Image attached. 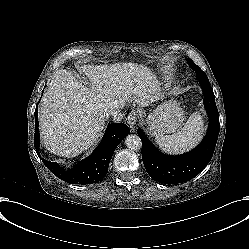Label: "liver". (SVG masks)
I'll return each instance as SVG.
<instances>
[{
  "mask_svg": "<svg viewBox=\"0 0 249 249\" xmlns=\"http://www.w3.org/2000/svg\"><path fill=\"white\" fill-rule=\"evenodd\" d=\"M93 88L80 83L72 72H59L51 80L39 106L43 144L57 156L72 158L94 146L102 136L111 104L127 102L146 107L157 96L147 69L131 64L84 65Z\"/></svg>",
  "mask_w": 249,
  "mask_h": 249,
  "instance_id": "1",
  "label": "liver"
}]
</instances>
